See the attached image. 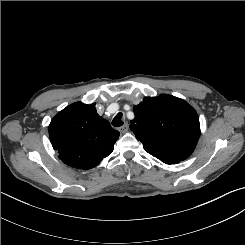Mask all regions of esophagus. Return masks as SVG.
Segmentation results:
<instances>
[{
    "label": "esophagus",
    "mask_w": 245,
    "mask_h": 245,
    "mask_svg": "<svg viewBox=\"0 0 245 245\" xmlns=\"http://www.w3.org/2000/svg\"><path fill=\"white\" fill-rule=\"evenodd\" d=\"M118 130H119L120 133H125V132H127V130H128V124L125 123V124H124L123 126H121Z\"/></svg>",
    "instance_id": "1"
}]
</instances>
